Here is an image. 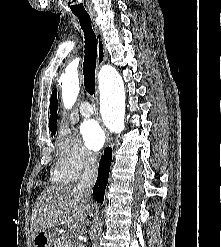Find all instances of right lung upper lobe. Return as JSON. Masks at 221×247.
<instances>
[{
	"label": "right lung upper lobe",
	"instance_id": "1",
	"mask_svg": "<svg viewBox=\"0 0 221 247\" xmlns=\"http://www.w3.org/2000/svg\"><path fill=\"white\" fill-rule=\"evenodd\" d=\"M50 119H49V129L52 132V136L55 135L56 122H57V91L53 90L50 99Z\"/></svg>",
	"mask_w": 221,
	"mask_h": 247
}]
</instances>
